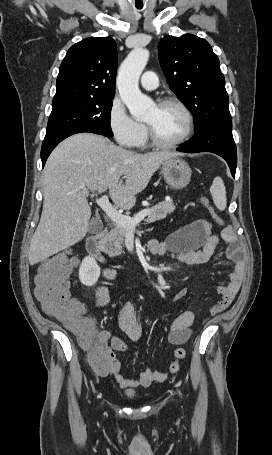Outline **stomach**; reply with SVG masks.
<instances>
[{
	"instance_id": "obj_1",
	"label": "stomach",
	"mask_w": 272,
	"mask_h": 455,
	"mask_svg": "<svg viewBox=\"0 0 272 455\" xmlns=\"http://www.w3.org/2000/svg\"><path fill=\"white\" fill-rule=\"evenodd\" d=\"M189 165L179 157H171L165 160L161 166V174L166 183L174 189H183L191 179Z\"/></svg>"
}]
</instances>
